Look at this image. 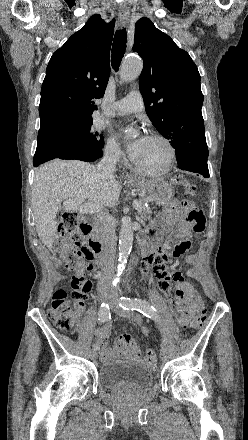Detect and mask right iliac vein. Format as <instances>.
Segmentation results:
<instances>
[{
    "label": "right iliac vein",
    "instance_id": "obj_1",
    "mask_svg": "<svg viewBox=\"0 0 248 440\" xmlns=\"http://www.w3.org/2000/svg\"><path fill=\"white\" fill-rule=\"evenodd\" d=\"M109 303H110V301H109ZM97 356H98L97 350L91 351V353H90L91 359L95 360L97 358Z\"/></svg>",
    "mask_w": 248,
    "mask_h": 440
}]
</instances>
